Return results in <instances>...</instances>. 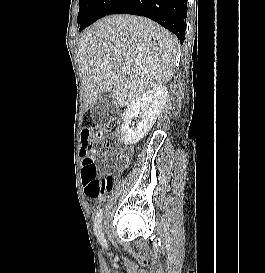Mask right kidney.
<instances>
[{
    "instance_id": "ca27d5eb",
    "label": "right kidney",
    "mask_w": 265,
    "mask_h": 273,
    "mask_svg": "<svg viewBox=\"0 0 265 273\" xmlns=\"http://www.w3.org/2000/svg\"><path fill=\"white\" fill-rule=\"evenodd\" d=\"M167 95L165 85L155 86L128 105L122 115L121 127V139L125 145L137 143L150 131L166 103ZM134 117L140 118L135 130L129 127Z\"/></svg>"
}]
</instances>
